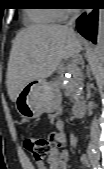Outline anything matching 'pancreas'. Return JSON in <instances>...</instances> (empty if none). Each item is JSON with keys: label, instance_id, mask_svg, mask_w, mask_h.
<instances>
[{"label": "pancreas", "instance_id": "obj_1", "mask_svg": "<svg viewBox=\"0 0 104 169\" xmlns=\"http://www.w3.org/2000/svg\"><path fill=\"white\" fill-rule=\"evenodd\" d=\"M64 71H69V68L68 67L63 68L62 72H64ZM79 74H80V70H78L77 75H75V76L77 77ZM73 83L76 84V79L73 80ZM73 96H74V102H79L80 99L83 98L82 95H81V92H79L77 90H75L73 92Z\"/></svg>", "mask_w": 104, "mask_h": 169}]
</instances>
